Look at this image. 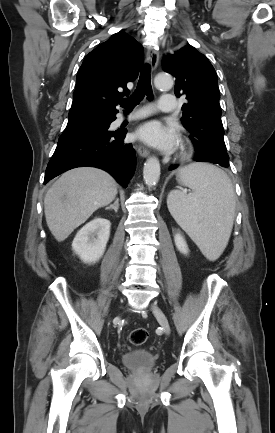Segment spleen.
<instances>
[{
  "label": "spleen",
  "mask_w": 275,
  "mask_h": 433,
  "mask_svg": "<svg viewBox=\"0 0 275 433\" xmlns=\"http://www.w3.org/2000/svg\"><path fill=\"white\" fill-rule=\"evenodd\" d=\"M178 181L193 193L170 192L168 209L203 255L214 261L224 251L233 228L235 196L231 180L213 165L193 163L179 170Z\"/></svg>",
  "instance_id": "spleen-1"
}]
</instances>
